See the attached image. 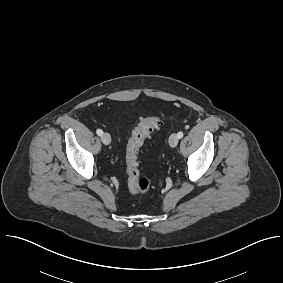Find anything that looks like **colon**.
Returning <instances> with one entry per match:
<instances>
[{"mask_svg": "<svg viewBox=\"0 0 283 283\" xmlns=\"http://www.w3.org/2000/svg\"><path fill=\"white\" fill-rule=\"evenodd\" d=\"M161 125L162 119L159 116H149L143 119L131 133L125 154L128 189L131 193H148L151 190L150 180L140 177L138 154L144 141Z\"/></svg>", "mask_w": 283, "mask_h": 283, "instance_id": "colon-1", "label": "colon"}]
</instances>
